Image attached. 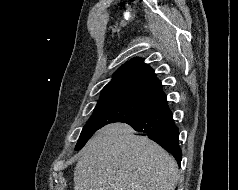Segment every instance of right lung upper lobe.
Returning a JSON list of instances; mask_svg holds the SVG:
<instances>
[{
	"instance_id": "right-lung-upper-lobe-1",
	"label": "right lung upper lobe",
	"mask_w": 238,
	"mask_h": 190,
	"mask_svg": "<svg viewBox=\"0 0 238 190\" xmlns=\"http://www.w3.org/2000/svg\"><path fill=\"white\" fill-rule=\"evenodd\" d=\"M117 96L133 97L154 105L166 98L154 70L139 57L126 62L114 73L100 99Z\"/></svg>"
}]
</instances>
